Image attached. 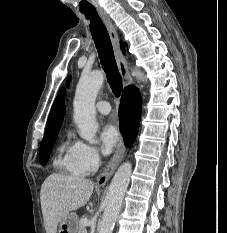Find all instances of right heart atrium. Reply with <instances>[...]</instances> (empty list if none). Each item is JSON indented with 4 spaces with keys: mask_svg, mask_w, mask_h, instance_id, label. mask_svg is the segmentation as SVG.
<instances>
[{
    "mask_svg": "<svg viewBox=\"0 0 227 233\" xmlns=\"http://www.w3.org/2000/svg\"><path fill=\"white\" fill-rule=\"evenodd\" d=\"M76 160L84 174L95 172L101 163L99 151L93 145L85 142L75 143Z\"/></svg>",
    "mask_w": 227,
    "mask_h": 233,
    "instance_id": "obj_1",
    "label": "right heart atrium"
}]
</instances>
